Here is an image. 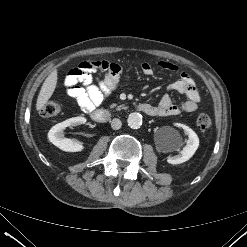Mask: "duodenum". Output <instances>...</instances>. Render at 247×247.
<instances>
[{"instance_id":"duodenum-1","label":"duodenum","mask_w":247,"mask_h":247,"mask_svg":"<svg viewBox=\"0 0 247 247\" xmlns=\"http://www.w3.org/2000/svg\"><path fill=\"white\" fill-rule=\"evenodd\" d=\"M137 109L148 116H155L157 113L156 108L153 105L147 103L138 104ZM91 118L98 123H106L110 118L111 114L106 109H95L91 112Z\"/></svg>"}]
</instances>
